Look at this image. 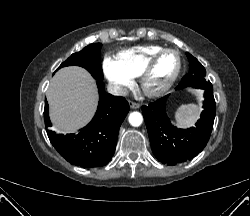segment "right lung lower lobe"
<instances>
[{"label":"right lung lower lobe","instance_id":"1","mask_svg":"<svg viewBox=\"0 0 250 216\" xmlns=\"http://www.w3.org/2000/svg\"><path fill=\"white\" fill-rule=\"evenodd\" d=\"M97 85L100 95L97 112L78 134L62 135L48 130L52 124L45 100L44 121L50 142L68 162L84 168L101 167L111 160L119 128L129 111L124 97L105 94L101 80Z\"/></svg>","mask_w":250,"mask_h":216}]
</instances>
